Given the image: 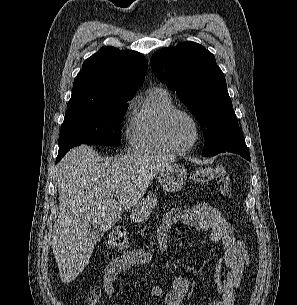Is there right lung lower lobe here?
I'll return each instance as SVG.
<instances>
[{"mask_svg": "<svg viewBox=\"0 0 297 305\" xmlns=\"http://www.w3.org/2000/svg\"><path fill=\"white\" fill-rule=\"evenodd\" d=\"M66 153H64V152H58V156H57V159H56V163L58 162V161H60L61 160V158L65 155Z\"/></svg>", "mask_w": 297, "mask_h": 305, "instance_id": "right-lung-lower-lobe-1", "label": "right lung lower lobe"}]
</instances>
